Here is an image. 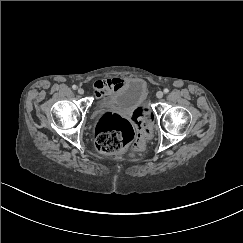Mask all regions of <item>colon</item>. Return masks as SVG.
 <instances>
[{"instance_id":"1","label":"colon","mask_w":243,"mask_h":243,"mask_svg":"<svg viewBox=\"0 0 243 243\" xmlns=\"http://www.w3.org/2000/svg\"><path fill=\"white\" fill-rule=\"evenodd\" d=\"M140 116L142 121L136 140H134L135 132L127 119L111 111H105L98 115L95 138L98 151L103 154H115L129 146L134 151L141 150L151 133L152 114L145 107L141 109Z\"/></svg>"}]
</instances>
